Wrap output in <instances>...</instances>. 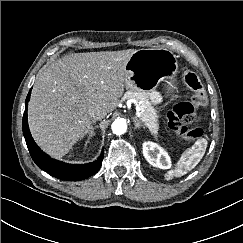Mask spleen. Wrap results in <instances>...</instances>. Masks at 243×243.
<instances>
[{
  "mask_svg": "<svg viewBox=\"0 0 243 243\" xmlns=\"http://www.w3.org/2000/svg\"><path fill=\"white\" fill-rule=\"evenodd\" d=\"M207 144L206 139H198L190 148L183 152L176 164V168L168 171L165 174V179L171 180L174 176L181 177L192 170L204 156Z\"/></svg>",
  "mask_w": 243,
  "mask_h": 243,
  "instance_id": "1",
  "label": "spleen"
}]
</instances>
